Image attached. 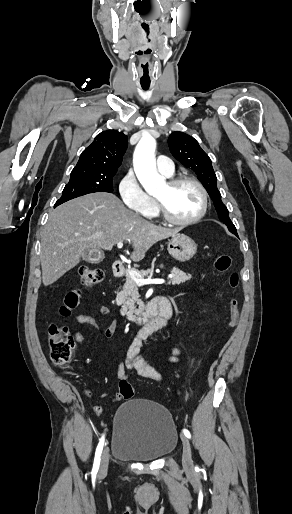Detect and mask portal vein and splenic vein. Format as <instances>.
<instances>
[{"label": "portal vein and splenic vein", "instance_id": "obj_1", "mask_svg": "<svg viewBox=\"0 0 292 514\" xmlns=\"http://www.w3.org/2000/svg\"><path fill=\"white\" fill-rule=\"evenodd\" d=\"M122 246V242L117 244V248H122ZM127 272L138 286H144V284H164L165 282V280H143L142 276H140L136 270H127Z\"/></svg>", "mask_w": 292, "mask_h": 514}]
</instances>
